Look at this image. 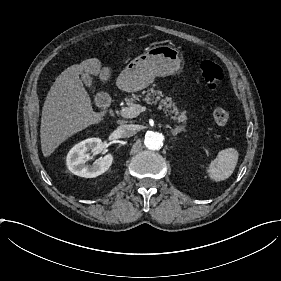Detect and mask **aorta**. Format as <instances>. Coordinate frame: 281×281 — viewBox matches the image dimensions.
Listing matches in <instances>:
<instances>
[{
    "label": "aorta",
    "instance_id": "762f6f07",
    "mask_svg": "<svg viewBox=\"0 0 281 281\" xmlns=\"http://www.w3.org/2000/svg\"><path fill=\"white\" fill-rule=\"evenodd\" d=\"M163 135L158 132H148L145 135L144 144L150 150H158L163 145Z\"/></svg>",
    "mask_w": 281,
    "mask_h": 281
}]
</instances>
